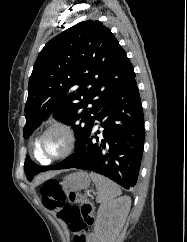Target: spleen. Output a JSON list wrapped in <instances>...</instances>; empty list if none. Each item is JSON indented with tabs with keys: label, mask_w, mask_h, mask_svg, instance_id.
<instances>
[{
	"label": "spleen",
	"mask_w": 187,
	"mask_h": 242,
	"mask_svg": "<svg viewBox=\"0 0 187 242\" xmlns=\"http://www.w3.org/2000/svg\"><path fill=\"white\" fill-rule=\"evenodd\" d=\"M90 177L95 183L98 191L96 198L98 203L111 201L121 195V189L119 186L110 179L93 172L90 173Z\"/></svg>",
	"instance_id": "3e777b00"
}]
</instances>
